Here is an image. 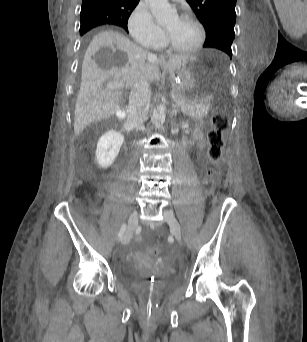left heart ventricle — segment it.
<instances>
[{"mask_svg": "<svg viewBox=\"0 0 307 342\" xmlns=\"http://www.w3.org/2000/svg\"><path fill=\"white\" fill-rule=\"evenodd\" d=\"M168 46L174 50H184L192 47L199 38L197 28L178 19L173 20L163 28Z\"/></svg>", "mask_w": 307, "mask_h": 342, "instance_id": "obj_1", "label": "left heart ventricle"}]
</instances>
